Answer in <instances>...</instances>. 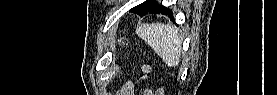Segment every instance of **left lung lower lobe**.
Masks as SVG:
<instances>
[{
    "instance_id": "1",
    "label": "left lung lower lobe",
    "mask_w": 277,
    "mask_h": 95,
    "mask_svg": "<svg viewBox=\"0 0 277 95\" xmlns=\"http://www.w3.org/2000/svg\"><path fill=\"white\" fill-rule=\"evenodd\" d=\"M131 12L137 13L140 16H144L149 13H162V14H168L171 19H173L172 12L169 8L164 6H153V1H146L138 6H135L130 10Z\"/></svg>"
}]
</instances>
